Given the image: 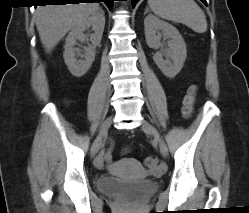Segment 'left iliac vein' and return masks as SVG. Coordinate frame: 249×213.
<instances>
[{
  "instance_id": "left-iliac-vein-1",
  "label": "left iliac vein",
  "mask_w": 249,
  "mask_h": 213,
  "mask_svg": "<svg viewBox=\"0 0 249 213\" xmlns=\"http://www.w3.org/2000/svg\"><path fill=\"white\" fill-rule=\"evenodd\" d=\"M141 128L146 133H149V134L154 136L155 141L159 145L160 152H161L162 156L167 157V155H168L167 145H166L165 141L163 140V138L160 136L159 132L156 130V128L154 126H152L149 122L145 121V120L142 122Z\"/></svg>"
}]
</instances>
